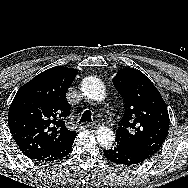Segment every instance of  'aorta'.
Returning <instances> with one entry per match:
<instances>
[{
    "label": "aorta",
    "mask_w": 188,
    "mask_h": 188,
    "mask_svg": "<svg viewBox=\"0 0 188 188\" xmlns=\"http://www.w3.org/2000/svg\"><path fill=\"white\" fill-rule=\"evenodd\" d=\"M81 90L84 95L92 100L98 101L105 98V86L103 82L96 77H86L81 83ZM96 138L102 147L112 146L115 135L114 132L105 126L96 130Z\"/></svg>",
    "instance_id": "1"
}]
</instances>
